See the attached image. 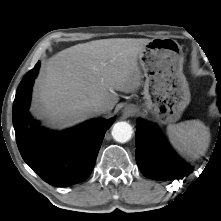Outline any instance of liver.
I'll use <instances>...</instances> for the list:
<instances>
[{"label": "liver", "instance_id": "1", "mask_svg": "<svg viewBox=\"0 0 221 221\" xmlns=\"http://www.w3.org/2000/svg\"><path fill=\"white\" fill-rule=\"evenodd\" d=\"M150 39L114 38L64 49L43 66L35 82L32 108L55 128H66L90 116L87 106L102 103L111 111L116 91L141 85L138 56Z\"/></svg>", "mask_w": 221, "mask_h": 221}]
</instances>
